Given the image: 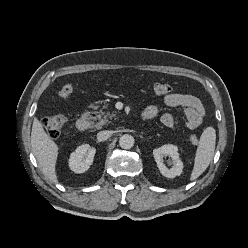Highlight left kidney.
I'll list each match as a JSON object with an SVG mask.
<instances>
[{
    "label": "left kidney",
    "mask_w": 248,
    "mask_h": 248,
    "mask_svg": "<svg viewBox=\"0 0 248 248\" xmlns=\"http://www.w3.org/2000/svg\"><path fill=\"white\" fill-rule=\"evenodd\" d=\"M153 156L160 173L166 178H175L183 171V163L179 157L178 148L172 144H166L153 150ZM169 156L173 166L169 169L164 164L163 158Z\"/></svg>",
    "instance_id": "obj_1"
}]
</instances>
